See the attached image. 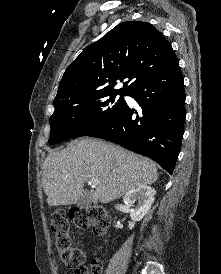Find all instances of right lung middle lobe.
I'll return each mask as SVG.
<instances>
[{"label":"right lung middle lobe","instance_id":"dd1d6c3e","mask_svg":"<svg viewBox=\"0 0 221 274\" xmlns=\"http://www.w3.org/2000/svg\"><path fill=\"white\" fill-rule=\"evenodd\" d=\"M120 95L119 99L116 96ZM125 93H105L54 104L49 143L89 136L108 124L126 104Z\"/></svg>","mask_w":221,"mask_h":274}]
</instances>
